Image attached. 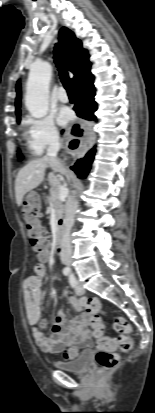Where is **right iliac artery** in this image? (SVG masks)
<instances>
[{
    "label": "right iliac artery",
    "instance_id": "82829eb1",
    "mask_svg": "<svg viewBox=\"0 0 155 413\" xmlns=\"http://www.w3.org/2000/svg\"><path fill=\"white\" fill-rule=\"evenodd\" d=\"M63 273H64V275H66V276H67V275H69L70 270H69V269H65Z\"/></svg>",
    "mask_w": 155,
    "mask_h": 413
}]
</instances>
